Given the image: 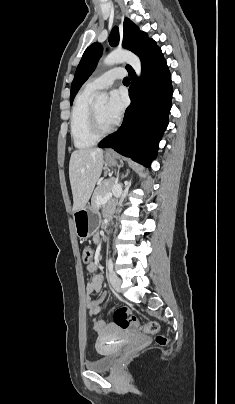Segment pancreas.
<instances>
[{"instance_id":"pancreas-1","label":"pancreas","mask_w":235,"mask_h":404,"mask_svg":"<svg viewBox=\"0 0 235 404\" xmlns=\"http://www.w3.org/2000/svg\"><path fill=\"white\" fill-rule=\"evenodd\" d=\"M113 185V180L109 179V180H105L103 182H101L100 184H98V186L96 187L92 199H91V203H92V207L93 208H98L99 206H103L98 204V198L100 196H104L107 193H109L111 191Z\"/></svg>"}]
</instances>
